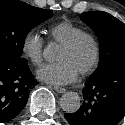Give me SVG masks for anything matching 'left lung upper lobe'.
I'll return each instance as SVG.
<instances>
[{"label":"left lung upper lobe","instance_id":"1","mask_svg":"<svg viewBox=\"0 0 125 125\" xmlns=\"http://www.w3.org/2000/svg\"><path fill=\"white\" fill-rule=\"evenodd\" d=\"M80 18L100 41L99 65L89 79L111 68L125 67V24L101 11L85 12Z\"/></svg>","mask_w":125,"mask_h":125}]
</instances>
